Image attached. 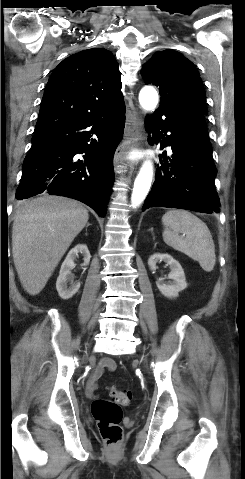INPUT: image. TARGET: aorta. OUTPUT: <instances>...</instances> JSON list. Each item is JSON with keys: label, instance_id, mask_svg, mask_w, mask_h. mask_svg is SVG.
Listing matches in <instances>:
<instances>
[{"label": "aorta", "instance_id": "aorta-1", "mask_svg": "<svg viewBox=\"0 0 245 479\" xmlns=\"http://www.w3.org/2000/svg\"><path fill=\"white\" fill-rule=\"evenodd\" d=\"M140 105L146 111H153L158 104V93L153 87H144L139 93ZM153 166L146 160L137 175L131 195V206L138 207L146 198L152 182Z\"/></svg>", "mask_w": 245, "mask_h": 479}]
</instances>
